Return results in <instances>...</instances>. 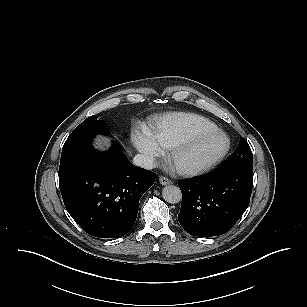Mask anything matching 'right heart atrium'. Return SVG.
Masks as SVG:
<instances>
[{
    "mask_svg": "<svg viewBox=\"0 0 307 307\" xmlns=\"http://www.w3.org/2000/svg\"><path fill=\"white\" fill-rule=\"evenodd\" d=\"M137 150L147 164H152L163 152V148L146 131L135 132L132 136Z\"/></svg>",
    "mask_w": 307,
    "mask_h": 307,
    "instance_id": "d8ad5b80",
    "label": "right heart atrium"
}]
</instances>
